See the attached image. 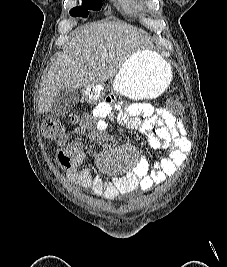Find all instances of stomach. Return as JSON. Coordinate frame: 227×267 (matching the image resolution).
Wrapping results in <instances>:
<instances>
[{
	"label": "stomach",
	"instance_id": "stomach-1",
	"mask_svg": "<svg viewBox=\"0 0 227 267\" xmlns=\"http://www.w3.org/2000/svg\"><path fill=\"white\" fill-rule=\"evenodd\" d=\"M172 79L170 64L156 51L135 52L121 67L113 80V91L124 99H151L162 94ZM103 85H88L86 98L96 101L103 94Z\"/></svg>",
	"mask_w": 227,
	"mask_h": 267
}]
</instances>
